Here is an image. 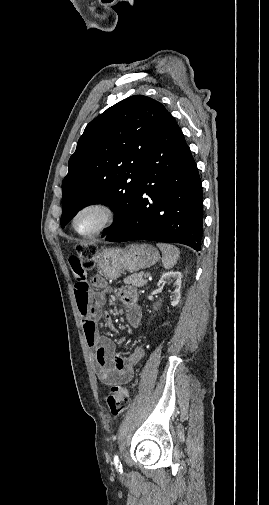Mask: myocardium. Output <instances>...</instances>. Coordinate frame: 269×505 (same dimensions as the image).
I'll list each match as a JSON object with an SVG mask.
<instances>
[{
  "mask_svg": "<svg viewBox=\"0 0 269 505\" xmlns=\"http://www.w3.org/2000/svg\"><path fill=\"white\" fill-rule=\"evenodd\" d=\"M91 208L102 209L106 214L105 220L98 228H96L95 230H93L91 232H87V233L80 232L76 228V220L82 212H84L85 210L91 209ZM118 215H119L118 207L113 202H111L109 200H105V199H95V200H91V201L84 203L75 211V213L72 217V220H71V226H72V229L74 230V232L76 234H78L79 236L94 237V236H97V235L103 233L108 228H110L117 221Z\"/></svg>",
  "mask_w": 269,
  "mask_h": 505,
  "instance_id": "f54148a6",
  "label": "myocardium"
}]
</instances>
